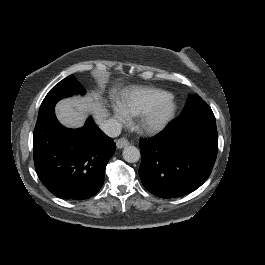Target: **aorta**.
Listing matches in <instances>:
<instances>
[{"label": "aorta", "mask_w": 265, "mask_h": 265, "mask_svg": "<svg viewBox=\"0 0 265 265\" xmlns=\"http://www.w3.org/2000/svg\"><path fill=\"white\" fill-rule=\"evenodd\" d=\"M122 154L124 160L129 163H135L140 159V151L135 146L125 147Z\"/></svg>", "instance_id": "762f6f07"}]
</instances>
